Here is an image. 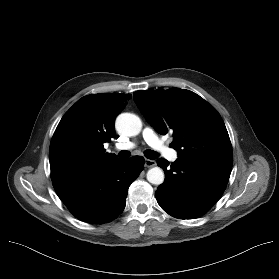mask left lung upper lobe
Here are the masks:
<instances>
[{
    "mask_svg": "<svg viewBox=\"0 0 279 279\" xmlns=\"http://www.w3.org/2000/svg\"><path fill=\"white\" fill-rule=\"evenodd\" d=\"M134 101L146 120L162 135L172 132L178 158L233 163L225 124L207 101L180 89L136 91Z\"/></svg>",
    "mask_w": 279,
    "mask_h": 279,
    "instance_id": "1",
    "label": "left lung upper lobe"
}]
</instances>
